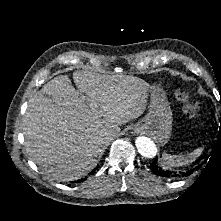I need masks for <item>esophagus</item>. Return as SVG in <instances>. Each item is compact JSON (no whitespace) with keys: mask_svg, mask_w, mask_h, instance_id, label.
I'll use <instances>...</instances> for the list:
<instances>
[{"mask_svg":"<svg viewBox=\"0 0 221 221\" xmlns=\"http://www.w3.org/2000/svg\"><path fill=\"white\" fill-rule=\"evenodd\" d=\"M133 134H136L137 133V131L136 130H133V132H132Z\"/></svg>","mask_w":221,"mask_h":221,"instance_id":"esophagus-1","label":"esophagus"}]
</instances>
